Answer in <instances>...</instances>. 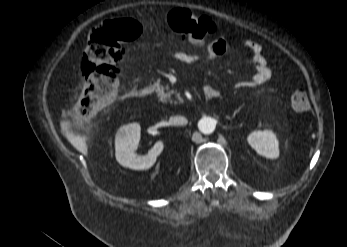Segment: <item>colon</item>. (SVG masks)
Instances as JSON below:
<instances>
[{
  "mask_svg": "<svg viewBox=\"0 0 347 247\" xmlns=\"http://www.w3.org/2000/svg\"><path fill=\"white\" fill-rule=\"evenodd\" d=\"M168 24L174 32L194 44H201L216 31V24L210 18L184 9L173 10L168 16ZM141 32L142 25L131 17L106 20L93 31L81 63V98L71 114L74 129L82 128L114 101L124 44L136 39ZM288 100L296 111H305L309 105L307 92L301 86L290 90Z\"/></svg>",
  "mask_w": 347,
  "mask_h": 247,
  "instance_id": "1",
  "label": "colon"
}]
</instances>
